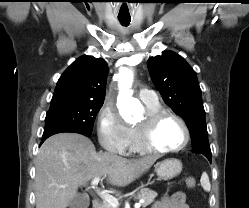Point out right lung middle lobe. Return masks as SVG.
<instances>
[{"label": "right lung middle lobe", "mask_w": 249, "mask_h": 208, "mask_svg": "<svg viewBox=\"0 0 249 208\" xmlns=\"http://www.w3.org/2000/svg\"><path fill=\"white\" fill-rule=\"evenodd\" d=\"M103 102H69L51 106L45 118V130L64 129L90 136L95 117Z\"/></svg>", "instance_id": "dd1d6c3e"}]
</instances>
